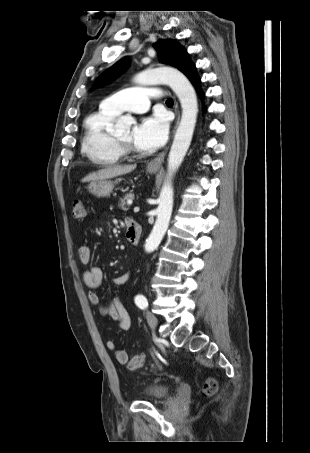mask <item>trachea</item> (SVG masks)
I'll use <instances>...</instances> for the list:
<instances>
[{
	"mask_svg": "<svg viewBox=\"0 0 310 453\" xmlns=\"http://www.w3.org/2000/svg\"><path fill=\"white\" fill-rule=\"evenodd\" d=\"M166 105H173V100H172V98L167 99Z\"/></svg>",
	"mask_w": 310,
	"mask_h": 453,
	"instance_id": "3493384b",
	"label": "trachea"
}]
</instances>
